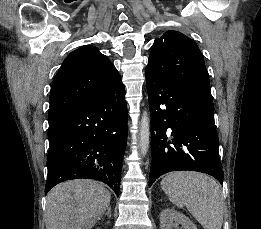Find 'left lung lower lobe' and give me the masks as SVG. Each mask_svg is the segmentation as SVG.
Returning <instances> with one entry per match:
<instances>
[{"mask_svg": "<svg viewBox=\"0 0 261 229\" xmlns=\"http://www.w3.org/2000/svg\"><path fill=\"white\" fill-rule=\"evenodd\" d=\"M151 113L149 186L162 174L192 170L223 182L211 89L146 71Z\"/></svg>", "mask_w": 261, "mask_h": 229, "instance_id": "left-lung-lower-lobe-1", "label": "left lung lower lobe"}]
</instances>
